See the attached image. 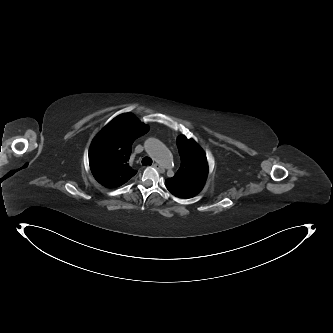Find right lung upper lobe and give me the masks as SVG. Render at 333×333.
Masks as SVG:
<instances>
[{"label": "right lung upper lobe", "instance_id": "obj_1", "mask_svg": "<svg viewBox=\"0 0 333 333\" xmlns=\"http://www.w3.org/2000/svg\"><path fill=\"white\" fill-rule=\"evenodd\" d=\"M148 130L149 127L133 114L124 113L98 133L89 149V163L95 179L101 185L116 188L136 174L128 163L131 146Z\"/></svg>", "mask_w": 333, "mask_h": 333}]
</instances>
